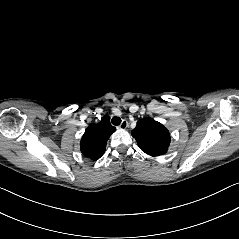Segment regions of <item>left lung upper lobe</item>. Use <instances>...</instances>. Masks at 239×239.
I'll list each match as a JSON object with an SVG mask.
<instances>
[{
  "instance_id": "obj_1",
  "label": "left lung upper lobe",
  "mask_w": 239,
  "mask_h": 239,
  "mask_svg": "<svg viewBox=\"0 0 239 239\" xmlns=\"http://www.w3.org/2000/svg\"><path fill=\"white\" fill-rule=\"evenodd\" d=\"M131 134L136 139L139 148L151 156L165 154L170 145L169 131L152 118L139 120Z\"/></svg>"
}]
</instances>
